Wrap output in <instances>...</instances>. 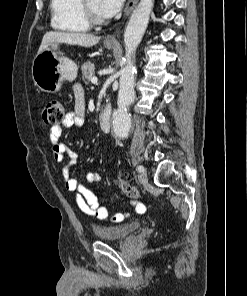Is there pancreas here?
<instances>
[{"label": "pancreas", "mask_w": 247, "mask_h": 296, "mask_svg": "<svg viewBox=\"0 0 247 296\" xmlns=\"http://www.w3.org/2000/svg\"><path fill=\"white\" fill-rule=\"evenodd\" d=\"M95 66L91 62H86L81 66L82 79L85 84H88L91 81V78L94 77Z\"/></svg>", "instance_id": "1"}]
</instances>
